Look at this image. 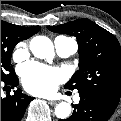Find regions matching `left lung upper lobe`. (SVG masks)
<instances>
[{"label": "left lung upper lobe", "instance_id": "5c2ea615", "mask_svg": "<svg viewBox=\"0 0 121 121\" xmlns=\"http://www.w3.org/2000/svg\"><path fill=\"white\" fill-rule=\"evenodd\" d=\"M48 29L75 36L79 44V70L65 88L96 93L118 105L121 96V47L115 36L85 18L48 26Z\"/></svg>", "mask_w": 121, "mask_h": 121}]
</instances>
